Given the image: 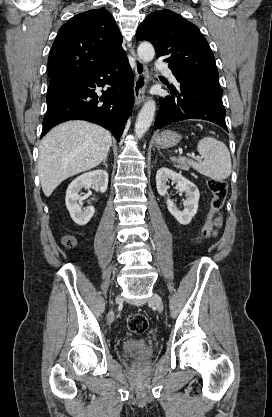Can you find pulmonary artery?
<instances>
[{
	"mask_svg": "<svg viewBox=\"0 0 272 417\" xmlns=\"http://www.w3.org/2000/svg\"><path fill=\"white\" fill-rule=\"evenodd\" d=\"M156 67H157L158 69H162V70H164V71L167 73V75H168V76H169L172 80H175L174 75L172 74L171 70H169V69L167 68V66H166V64H165V63H163V62H161V61H157V62H156Z\"/></svg>",
	"mask_w": 272,
	"mask_h": 417,
	"instance_id": "pulmonary-artery-1",
	"label": "pulmonary artery"
}]
</instances>
